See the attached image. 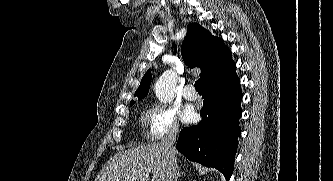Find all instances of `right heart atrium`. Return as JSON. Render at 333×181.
I'll return each mask as SVG.
<instances>
[{"mask_svg":"<svg viewBox=\"0 0 333 181\" xmlns=\"http://www.w3.org/2000/svg\"><path fill=\"white\" fill-rule=\"evenodd\" d=\"M147 122L149 135L153 139L174 135L179 129L176 108L159 103L153 105L148 113Z\"/></svg>","mask_w":333,"mask_h":181,"instance_id":"d8ad5b80","label":"right heart atrium"}]
</instances>
